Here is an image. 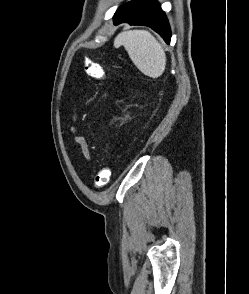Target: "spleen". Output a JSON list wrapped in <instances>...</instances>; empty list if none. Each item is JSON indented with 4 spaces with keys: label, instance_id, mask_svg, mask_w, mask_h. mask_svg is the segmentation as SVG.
I'll use <instances>...</instances> for the list:
<instances>
[{
    "label": "spleen",
    "instance_id": "3e777b00",
    "mask_svg": "<svg viewBox=\"0 0 249 294\" xmlns=\"http://www.w3.org/2000/svg\"><path fill=\"white\" fill-rule=\"evenodd\" d=\"M124 46L135 66L146 76H161L166 66V55L158 40L148 31L129 30L117 35L114 47Z\"/></svg>",
    "mask_w": 249,
    "mask_h": 294
}]
</instances>
